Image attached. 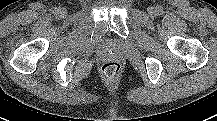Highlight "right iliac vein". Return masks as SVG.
<instances>
[{
    "label": "right iliac vein",
    "instance_id": "right-iliac-vein-1",
    "mask_svg": "<svg viewBox=\"0 0 217 121\" xmlns=\"http://www.w3.org/2000/svg\"><path fill=\"white\" fill-rule=\"evenodd\" d=\"M67 10L66 9H60V11H59V15L61 16V17H65L66 15H67Z\"/></svg>",
    "mask_w": 217,
    "mask_h": 121
}]
</instances>
